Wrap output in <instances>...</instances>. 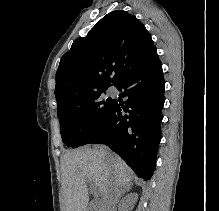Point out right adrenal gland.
Instances as JSON below:
<instances>
[{"label":"right adrenal gland","instance_id":"right-adrenal-gland-1","mask_svg":"<svg viewBox=\"0 0 219 211\" xmlns=\"http://www.w3.org/2000/svg\"><path fill=\"white\" fill-rule=\"evenodd\" d=\"M130 189H131V185H129V187H123L121 191V195H123V193H127V191H130Z\"/></svg>","mask_w":219,"mask_h":211}]
</instances>
